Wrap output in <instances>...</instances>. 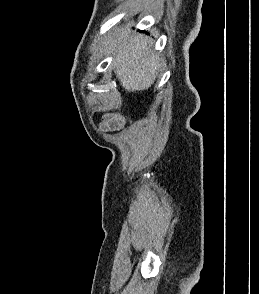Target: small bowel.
Instances as JSON below:
<instances>
[{"mask_svg":"<svg viewBox=\"0 0 259 294\" xmlns=\"http://www.w3.org/2000/svg\"><path fill=\"white\" fill-rule=\"evenodd\" d=\"M125 125V120L120 114H106L100 122L103 131H119Z\"/></svg>","mask_w":259,"mask_h":294,"instance_id":"1","label":"small bowel"}]
</instances>
